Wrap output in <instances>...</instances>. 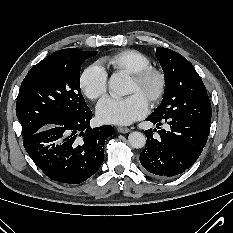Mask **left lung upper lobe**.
Listing matches in <instances>:
<instances>
[{"label":"left lung upper lobe","mask_w":233,"mask_h":233,"mask_svg":"<svg viewBox=\"0 0 233 233\" xmlns=\"http://www.w3.org/2000/svg\"><path fill=\"white\" fill-rule=\"evenodd\" d=\"M156 50V57L164 71L165 90L161 104L151 116L162 118L184 114L211 122L209 97L193 65L173 50Z\"/></svg>","instance_id":"5c2ea615"}]
</instances>
